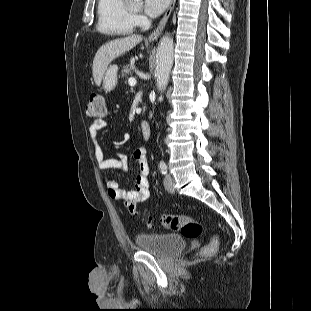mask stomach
I'll return each instance as SVG.
<instances>
[{
    "label": "stomach",
    "instance_id": "stomach-1",
    "mask_svg": "<svg viewBox=\"0 0 311 311\" xmlns=\"http://www.w3.org/2000/svg\"><path fill=\"white\" fill-rule=\"evenodd\" d=\"M117 72H118V66L117 65H110L104 75H103V84L102 88L106 92H110L115 89L117 85Z\"/></svg>",
    "mask_w": 311,
    "mask_h": 311
}]
</instances>
